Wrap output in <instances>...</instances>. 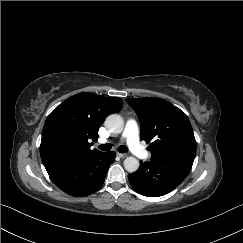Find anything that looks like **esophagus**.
<instances>
[{
	"label": "esophagus",
	"mask_w": 243,
	"mask_h": 243,
	"mask_svg": "<svg viewBox=\"0 0 243 243\" xmlns=\"http://www.w3.org/2000/svg\"><path fill=\"white\" fill-rule=\"evenodd\" d=\"M117 155H118L120 158H125V157H127V154H125V153H117Z\"/></svg>",
	"instance_id": "esophagus-1"
}]
</instances>
